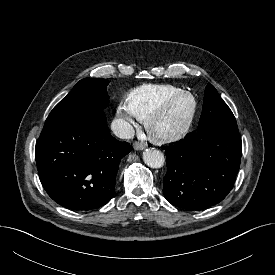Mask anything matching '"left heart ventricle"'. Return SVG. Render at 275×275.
Returning a JSON list of instances; mask_svg holds the SVG:
<instances>
[{
	"instance_id": "left-heart-ventricle-1",
	"label": "left heart ventricle",
	"mask_w": 275,
	"mask_h": 275,
	"mask_svg": "<svg viewBox=\"0 0 275 275\" xmlns=\"http://www.w3.org/2000/svg\"><path fill=\"white\" fill-rule=\"evenodd\" d=\"M189 110L190 100L188 98H180L156 120L154 130L159 133L176 130L185 121Z\"/></svg>"
}]
</instances>
